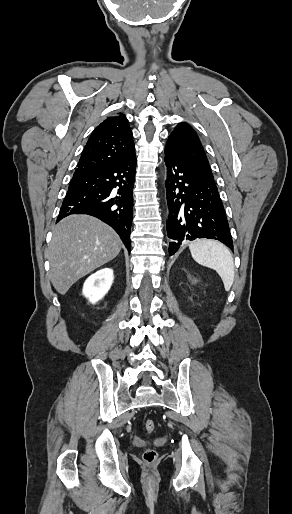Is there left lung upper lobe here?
<instances>
[{
  "label": "left lung upper lobe",
  "instance_id": "left-lung-upper-lobe-1",
  "mask_svg": "<svg viewBox=\"0 0 292 514\" xmlns=\"http://www.w3.org/2000/svg\"><path fill=\"white\" fill-rule=\"evenodd\" d=\"M166 146L176 150L193 169L214 180L202 143L188 123L181 122L174 128Z\"/></svg>",
  "mask_w": 292,
  "mask_h": 514
}]
</instances>
